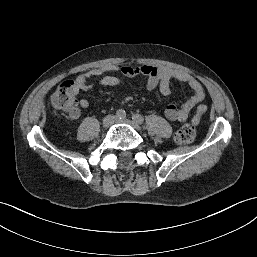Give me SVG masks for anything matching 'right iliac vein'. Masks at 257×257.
<instances>
[{
	"label": "right iliac vein",
	"mask_w": 257,
	"mask_h": 257,
	"mask_svg": "<svg viewBox=\"0 0 257 257\" xmlns=\"http://www.w3.org/2000/svg\"><path fill=\"white\" fill-rule=\"evenodd\" d=\"M114 121V118L112 116H108L103 120V126L105 128H108Z\"/></svg>",
	"instance_id": "obj_1"
}]
</instances>
